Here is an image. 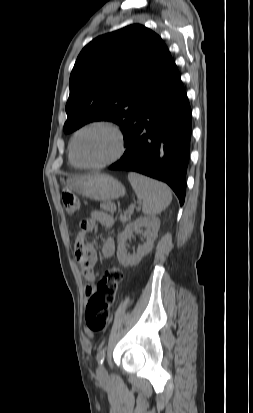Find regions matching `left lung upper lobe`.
Here are the masks:
<instances>
[{"instance_id": "obj_1", "label": "left lung upper lobe", "mask_w": 253, "mask_h": 413, "mask_svg": "<svg viewBox=\"0 0 253 413\" xmlns=\"http://www.w3.org/2000/svg\"><path fill=\"white\" fill-rule=\"evenodd\" d=\"M172 60L159 35L140 24L95 38L83 48L70 75L64 132L108 120L120 125L125 136Z\"/></svg>"}]
</instances>
